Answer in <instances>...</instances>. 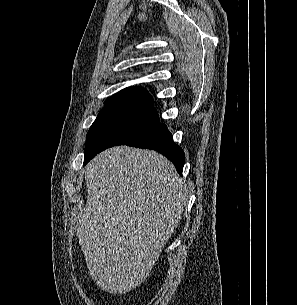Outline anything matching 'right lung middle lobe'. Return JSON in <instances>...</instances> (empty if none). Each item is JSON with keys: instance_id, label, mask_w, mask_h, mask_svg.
Masks as SVG:
<instances>
[{"instance_id": "dd1d6c3e", "label": "right lung middle lobe", "mask_w": 297, "mask_h": 305, "mask_svg": "<svg viewBox=\"0 0 297 305\" xmlns=\"http://www.w3.org/2000/svg\"><path fill=\"white\" fill-rule=\"evenodd\" d=\"M152 103L135 99L106 102L87 134L84 165L94 152L124 144L156 126L160 119Z\"/></svg>"}]
</instances>
